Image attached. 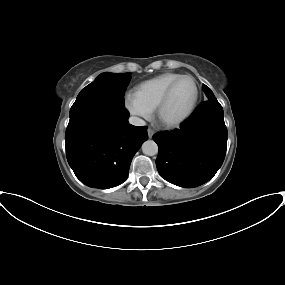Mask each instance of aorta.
<instances>
[{
  "instance_id": "1",
  "label": "aorta",
  "mask_w": 285,
  "mask_h": 285,
  "mask_svg": "<svg viewBox=\"0 0 285 285\" xmlns=\"http://www.w3.org/2000/svg\"><path fill=\"white\" fill-rule=\"evenodd\" d=\"M142 152L148 156H154L158 153V145L153 140H147L142 145Z\"/></svg>"
}]
</instances>
